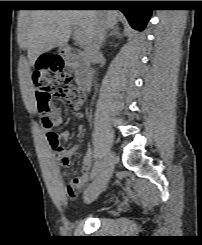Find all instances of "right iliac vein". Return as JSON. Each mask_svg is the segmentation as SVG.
Returning a JSON list of instances; mask_svg holds the SVG:
<instances>
[{
    "instance_id": "1",
    "label": "right iliac vein",
    "mask_w": 202,
    "mask_h": 245,
    "mask_svg": "<svg viewBox=\"0 0 202 245\" xmlns=\"http://www.w3.org/2000/svg\"><path fill=\"white\" fill-rule=\"evenodd\" d=\"M115 161V155L109 151L99 174L97 175L96 179L88 186L84 193V199L86 202L95 200L103 192L110 177L112 176Z\"/></svg>"
}]
</instances>
